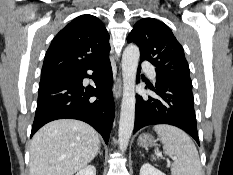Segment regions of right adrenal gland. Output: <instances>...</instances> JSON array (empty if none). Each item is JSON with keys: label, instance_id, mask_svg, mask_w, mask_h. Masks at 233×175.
<instances>
[{"label": "right adrenal gland", "instance_id": "2a0ac1e0", "mask_svg": "<svg viewBox=\"0 0 233 175\" xmlns=\"http://www.w3.org/2000/svg\"><path fill=\"white\" fill-rule=\"evenodd\" d=\"M98 154L102 155V152L100 151V146H99Z\"/></svg>", "mask_w": 233, "mask_h": 175}]
</instances>
